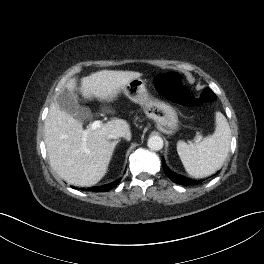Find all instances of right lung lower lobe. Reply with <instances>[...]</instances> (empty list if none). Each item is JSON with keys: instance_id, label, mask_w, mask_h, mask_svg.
Masks as SVG:
<instances>
[{"instance_id": "98d812e1", "label": "right lung lower lobe", "mask_w": 264, "mask_h": 264, "mask_svg": "<svg viewBox=\"0 0 264 264\" xmlns=\"http://www.w3.org/2000/svg\"><path fill=\"white\" fill-rule=\"evenodd\" d=\"M119 182H120V179H118V180H116L113 183H110L108 185H104V186H100V187H93L91 190L94 192L108 191L110 188H114Z\"/></svg>"}]
</instances>
